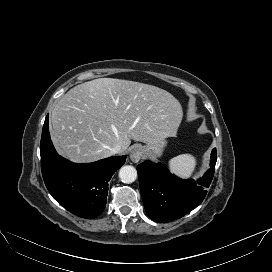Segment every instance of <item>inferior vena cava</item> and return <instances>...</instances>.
Segmentation results:
<instances>
[{
  "mask_svg": "<svg viewBox=\"0 0 272 272\" xmlns=\"http://www.w3.org/2000/svg\"><path fill=\"white\" fill-rule=\"evenodd\" d=\"M109 150L112 154H117L121 151V146L117 144V145L110 147Z\"/></svg>",
  "mask_w": 272,
  "mask_h": 272,
  "instance_id": "602c4592",
  "label": "inferior vena cava"
}]
</instances>
